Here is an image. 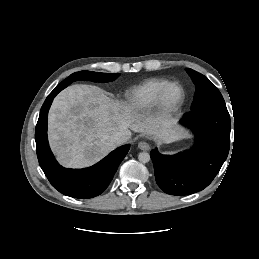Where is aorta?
Instances as JSON below:
<instances>
[{"label": "aorta", "instance_id": "1", "mask_svg": "<svg viewBox=\"0 0 259 259\" xmlns=\"http://www.w3.org/2000/svg\"><path fill=\"white\" fill-rule=\"evenodd\" d=\"M138 159H139V161L142 162V163H147V162L150 161V155H149V153H147V152H141V153H139V155H138Z\"/></svg>", "mask_w": 259, "mask_h": 259}]
</instances>
